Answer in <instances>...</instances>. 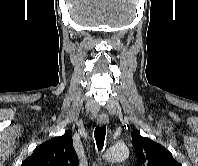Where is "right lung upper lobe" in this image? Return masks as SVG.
<instances>
[{
  "label": "right lung upper lobe",
  "mask_w": 198,
  "mask_h": 166,
  "mask_svg": "<svg viewBox=\"0 0 198 166\" xmlns=\"http://www.w3.org/2000/svg\"><path fill=\"white\" fill-rule=\"evenodd\" d=\"M21 166H78L70 131L39 145Z\"/></svg>",
  "instance_id": "obj_1"
}]
</instances>
